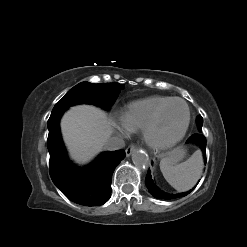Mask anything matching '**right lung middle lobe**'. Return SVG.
Masks as SVG:
<instances>
[{
	"label": "right lung middle lobe",
	"mask_w": 247,
	"mask_h": 247,
	"mask_svg": "<svg viewBox=\"0 0 247 247\" xmlns=\"http://www.w3.org/2000/svg\"><path fill=\"white\" fill-rule=\"evenodd\" d=\"M119 83H99L92 84L81 82L74 86L66 95L54 106L52 111L66 109L79 103H89L109 109L114 103L123 88Z\"/></svg>",
	"instance_id": "right-lung-middle-lobe-1"
}]
</instances>
